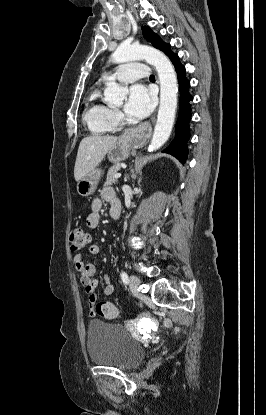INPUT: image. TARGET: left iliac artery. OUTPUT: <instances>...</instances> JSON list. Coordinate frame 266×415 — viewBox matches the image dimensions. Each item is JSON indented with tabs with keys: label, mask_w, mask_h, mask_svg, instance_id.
Segmentation results:
<instances>
[{
	"label": "left iliac artery",
	"mask_w": 266,
	"mask_h": 415,
	"mask_svg": "<svg viewBox=\"0 0 266 415\" xmlns=\"http://www.w3.org/2000/svg\"><path fill=\"white\" fill-rule=\"evenodd\" d=\"M120 276H121L122 281H123L125 284H127V283L129 282V278H128V275H127V273H126V272L122 271V272H121V274H120Z\"/></svg>",
	"instance_id": "44dca946"
}]
</instances>
